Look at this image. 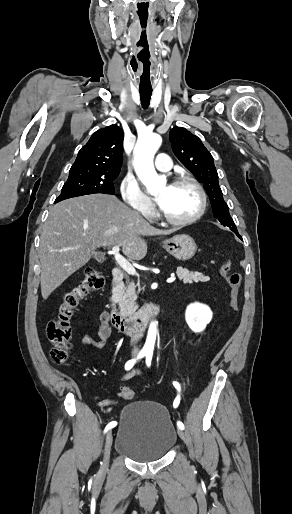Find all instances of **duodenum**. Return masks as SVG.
<instances>
[{
  "instance_id": "410a0bca",
  "label": "duodenum",
  "mask_w": 292,
  "mask_h": 514,
  "mask_svg": "<svg viewBox=\"0 0 292 514\" xmlns=\"http://www.w3.org/2000/svg\"><path fill=\"white\" fill-rule=\"evenodd\" d=\"M124 276L125 273L121 268H114L112 273V294L108 301L109 321L122 334H136L147 325L149 319L157 312L158 307L155 303H148L134 315L122 316L119 313L114 295L120 289Z\"/></svg>"
}]
</instances>
